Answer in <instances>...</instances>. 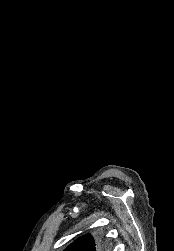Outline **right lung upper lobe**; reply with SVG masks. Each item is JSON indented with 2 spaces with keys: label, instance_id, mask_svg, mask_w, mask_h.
I'll return each instance as SVG.
<instances>
[{
  "label": "right lung upper lobe",
  "instance_id": "obj_1",
  "mask_svg": "<svg viewBox=\"0 0 174 251\" xmlns=\"http://www.w3.org/2000/svg\"><path fill=\"white\" fill-rule=\"evenodd\" d=\"M64 251H96V243L94 241V238L90 234H88L86 236L78 238Z\"/></svg>",
  "mask_w": 174,
  "mask_h": 251
}]
</instances>
